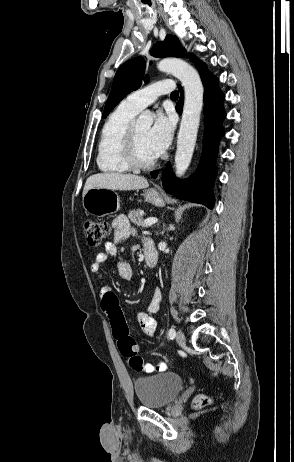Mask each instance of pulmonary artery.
Here are the masks:
<instances>
[{
    "label": "pulmonary artery",
    "instance_id": "e3ab8cb5",
    "mask_svg": "<svg viewBox=\"0 0 294 462\" xmlns=\"http://www.w3.org/2000/svg\"><path fill=\"white\" fill-rule=\"evenodd\" d=\"M174 90V85L170 79H164L143 87L130 93L122 104L138 113L148 105L152 104L159 96L168 94Z\"/></svg>",
    "mask_w": 294,
    "mask_h": 462
}]
</instances>
